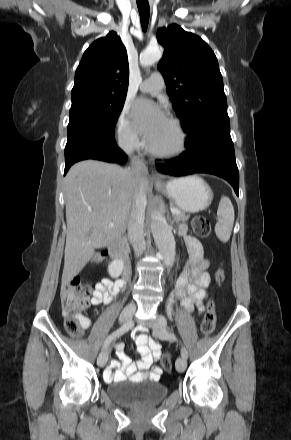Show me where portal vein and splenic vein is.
Returning <instances> with one entry per match:
<instances>
[{
    "instance_id": "1",
    "label": "portal vein and splenic vein",
    "mask_w": 291,
    "mask_h": 440,
    "mask_svg": "<svg viewBox=\"0 0 291 440\" xmlns=\"http://www.w3.org/2000/svg\"><path fill=\"white\" fill-rule=\"evenodd\" d=\"M171 213H172L173 215H177V214H180V211H179L178 209H176V208H171ZM113 226H114L113 223H110V224H109V227H113Z\"/></svg>"
}]
</instances>
